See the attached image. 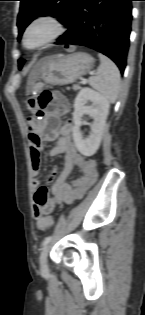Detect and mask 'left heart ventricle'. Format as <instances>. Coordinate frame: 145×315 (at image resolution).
Listing matches in <instances>:
<instances>
[{"label": "left heart ventricle", "instance_id": "obj_1", "mask_svg": "<svg viewBox=\"0 0 145 315\" xmlns=\"http://www.w3.org/2000/svg\"><path fill=\"white\" fill-rule=\"evenodd\" d=\"M50 27L46 24H40L32 28L27 37L29 46H35L41 43L49 34Z\"/></svg>", "mask_w": 145, "mask_h": 315}]
</instances>
